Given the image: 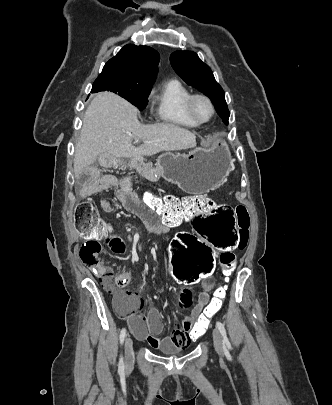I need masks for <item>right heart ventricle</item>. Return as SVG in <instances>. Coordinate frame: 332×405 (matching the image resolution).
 I'll return each instance as SVG.
<instances>
[{
    "label": "right heart ventricle",
    "instance_id": "e07e8e85",
    "mask_svg": "<svg viewBox=\"0 0 332 405\" xmlns=\"http://www.w3.org/2000/svg\"><path fill=\"white\" fill-rule=\"evenodd\" d=\"M190 91L178 80H169L153 93V113L158 121L187 128L198 127L185 112Z\"/></svg>",
    "mask_w": 332,
    "mask_h": 405
}]
</instances>
